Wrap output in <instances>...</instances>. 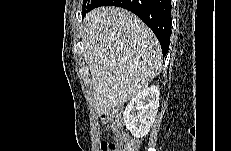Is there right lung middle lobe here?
<instances>
[{
  "instance_id": "1",
  "label": "right lung middle lobe",
  "mask_w": 231,
  "mask_h": 151,
  "mask_svg": "<svg viewBox=\"0 0 231 151\" xmlns=\"http://www.w3.org/2000/svg\"><path fill=\"white\" fill-rule=\"evenodd\" d=\"M92 1L84 0L83 1V8H82V16L86 13V11L90 8V4Z\"/></svg>"
}]
</instances>
